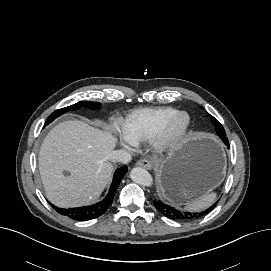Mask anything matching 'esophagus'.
Wrapping results in <instances>:
<instances>
[{
  "instance_id": "esophagus-1",
  "label": "esophagus",
  "mask_w": 271,
  "mask_h": 271,
  "mask_svg": "<svg viewBox=\"0 0 271 271\" xmlns=\"http://www.w3.org/2000/svg\"><path fill=\"white\" fill-rule=\"evenodd\" d=\"M137 166L146 168L148 170H151L153 168V164L151 161L147 160V159H141L136 163Z\"/></svg>"
}]
</instances>
